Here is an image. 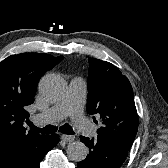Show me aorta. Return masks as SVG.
<instances>
[{
	"instance_id": "762f6f07",
	"label": "aorta",
	"mask_w": 168,
	"mask_h": 168,
	"mask_svg": "<svg viewBox=\"0 0 168 168\" xmlns=\"http://www.w3.org/2000/svg\"><path fill=\"white\" fill-rule=\"evenodd\" d=\"M66 90V85L62 77L56 74L45 75L39 83V92L48 102H56L62 98ZM68 157L76 162L86 159L88 155L87 146L76 141L67 146Z\"/></svg>"
}]
</instances>
